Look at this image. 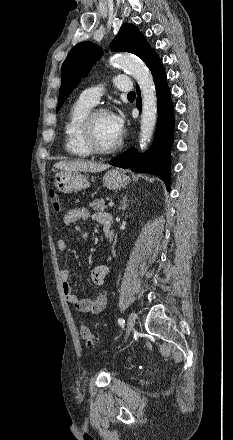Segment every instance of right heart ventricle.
<instances>
[{"label": "right heart ventricle", "instance_id": "e07e8e85", "mask_svg": "<svg viewBox=\"0 0 233 440\" xmlns=\"http://www.w3.org/2000/svg\"><path fill=\"white\" fill-rule=\"evenodd\" d=\"M92 106L78 100L68 113L64 125L65 151L77 158H87L92 153L85 147L81 139V126Z\"/></svg>", "mask_w": 233, "mask_h": 440}]
</instances>
